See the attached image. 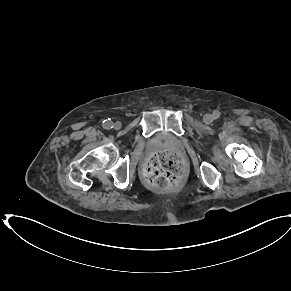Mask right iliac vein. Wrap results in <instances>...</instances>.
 I'll list each match as a JSON object with an SVG mask.
<instances>
[{
  "label": "right iliac vein",
  "instance_id": "1",
  "mask_svg": "<svg viewBox=\"0 0 291 291\" xmlns=\"http://www.w3.org/2000/svg\"><path fill=\"white\" fill-rule=\"evenodd\" d=\"M113 126H114V129L119 130L122 125L120 122H116Z\"/></svg>",
  "mask_w": 291,
  "mask_h": 291
}]
</instances>
